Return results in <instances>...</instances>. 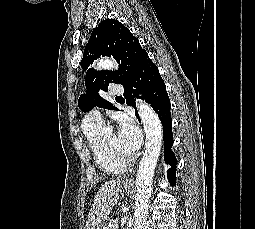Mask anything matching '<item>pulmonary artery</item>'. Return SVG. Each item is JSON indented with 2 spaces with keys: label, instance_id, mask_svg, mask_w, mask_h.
Returning a JSON list of instances; mask_svg holds the SVG:
<instances>
[{
  "label": "pulmonary artery",
  "instance_id": "1",
  "mask_svg": "<svg viewBox=\"0 0 255 229\" xmlns=\"http://www.w3.org/2000/svg\"><path fill=\"white\" fill-rule=\"evenodd\" d=\"M123 93V88L120 85L113 84L111 89H110V94L112 96H117ZM104 123L101 114L99 113L98 110H92L89 112L84 120H83V126H102Z\"/></svg>",
  "mask_w": 255,
  "mask_h": 229
}]
</instances>
